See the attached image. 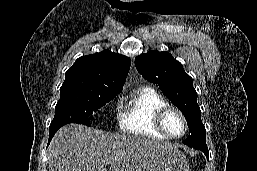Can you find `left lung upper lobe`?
<instances>
[{
    "label": "left lung upper lobe",
    "instance_id": "obj_1",
    "mask_svg": "<svg viewBox=\"0 0 257 171\" xmlns=\"http://www.w3.org/2000/svg\"><path fill=\"white\" fill-rule=\"evenodd\" d=\"M135 65L145 79L158 85L164 95L183 112L189 127V135L183 143L192 147L207 146L197 93L192 78L184 71L182 64L168 52L149 51L137 56Z\"/></svg>",
    "mask_w": 257,
    "mask_h": 171
}]
</instances>
